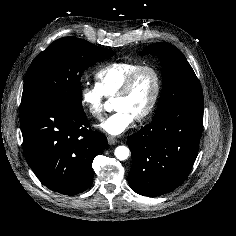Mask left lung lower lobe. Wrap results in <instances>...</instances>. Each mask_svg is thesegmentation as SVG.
I'll use <instances>...</instances> for the list:
<instances>
[{
    "label": "left lung lower lobe",
    "instance_id": "0a47b994",
    "mask_svg": "<svg viewBox=\"0 0 236 236\" xmlns=\"http://www.w3.org/2000/svg\"><path fill=\"white\" fill-rule=\"evenodd\" d=\"M202 129L203 104H182L129 136L133 160L129 172L131 188L156 197L180 186L197 157Z\"/></svg>",
    "mask_w": 236,
    "mask_h": 236
}]
</instances>
